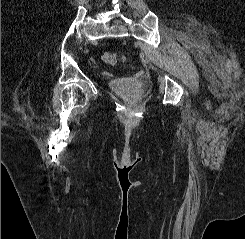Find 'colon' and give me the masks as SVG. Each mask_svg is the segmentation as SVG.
<instances>
[{
	"label": "colon",
	"instance_id": "obj_1",
	"mask_svg": "<svg viewBox=\"0 0 245 239\" xmlns=\"http://www.w3.org/2000/svg\"><path fill=\"white\" fill-rule=\"evenodd\" d=\"M102 61L105 64L114 65L118 61V56L115 53H105L102 55Z\"/></svg>",
	"mask_w": 245,
	"mask_h": 239
}]
</instances>
